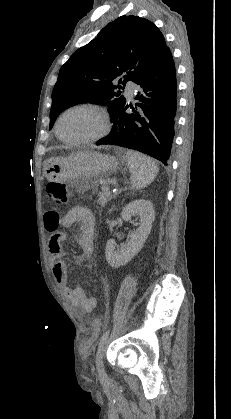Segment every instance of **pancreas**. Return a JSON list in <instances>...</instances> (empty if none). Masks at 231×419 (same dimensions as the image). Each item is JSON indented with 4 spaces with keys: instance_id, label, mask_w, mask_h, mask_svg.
Here are the masks:
<instances>
[{
    "instance_id": "obj_1",
    "label": "pancreas",
    "mask_w": 231,
    "mask_h": 419,
    "mask_svg": "<svg viewBox=\"0 0 231 419\" xmlns=\"http://www.w3.org/2000/svg\"><path fill=\"white\" fill-rule=\"evenodd\" d=\"M107 187V185L102 186V192L99 194V198L97 200L101 206H104L109 200L112 199L111 192L109 189H106Z\"/></svg>"
}]
</instances>
